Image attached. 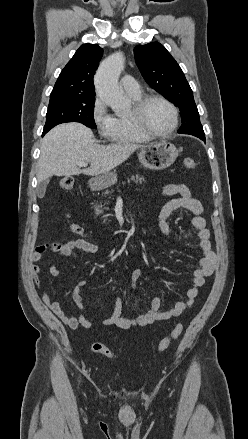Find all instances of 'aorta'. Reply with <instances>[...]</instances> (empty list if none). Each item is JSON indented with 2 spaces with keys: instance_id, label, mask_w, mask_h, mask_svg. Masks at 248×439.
<instances>
[{
  "instance_id": "obj_1",
  "label": "aorta",
  "mask_w": 248,
  "mask_h": 439,
  "mask_svg": "<svg viewBox=\"0 0 248 439\" xmlns=\"http://www.w3.org/2000/svg\"><path fill=\"white\" fill-rule=\"evenodd\" d=\"M124 65L125 57L123 53L116 52L100 64L94 78L97 96L116 113L122 112L129 105L128 99L118 85V79Z\"/></svg>"
}]
</instances>
